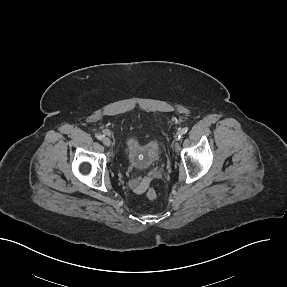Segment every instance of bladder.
I'll use <instances>...</instances> for the list:
<instances>
[{
    "mask_svg": "<svg viewBox=\"0 0 287 287\" xmlns=\"http://www.w3.org/2000/svg\"><path fill=\"white\" fill-rule=\"evenodd\" d=\"M127 164L137 170H147L159 159L160 145L156 140L141 142L136 137H129L125 144Z\"/></svg>",
    "mask_w": 287,
    "mask_h": 287,
    "instance_id": "1",
    "label": "bladder"
}]
</instances>
